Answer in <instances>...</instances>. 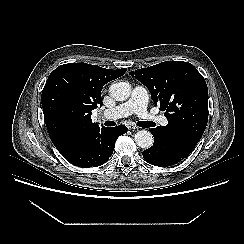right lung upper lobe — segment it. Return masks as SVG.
<instances>
[{
    "mask_svg": "<svg viewBox=\"0 0 244 244\" xmlns=\"http://www.w3.org/2000/svg\"><path fill=\"white\" fill-rule=\"evenodd\" d=\"M126 71L87 63H68L52 71L41 103L50 138L58 150L72 140L91 137L106 128L92 123L91 111L102 104L103 86Z\"/></svg>",
    "mask_w": 244,
    "mask_h": 244,
    "instance_id": "cb5924a9",
    "label": "right lung upper lobe"
}]
</instances>
